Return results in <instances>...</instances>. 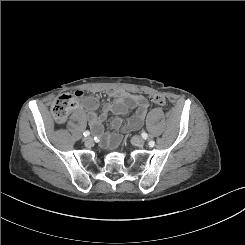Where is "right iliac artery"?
Masks as SVG:
<instances>
[{
	"instance_id": "right-iliac-artery-1",
	"label": "right iliac artery",
	"mask_w": 245,
	"mask_h": 245,
	"mask_svg": "<svg viewBox=\"0 0 245 245\" xmlns=\"http://www.w3.org/2000/svg\"><path fill=\"white\" fill-rule=\"evenodd\" d=\"M83 135H84L85 137H87V136L90 135V132H89V131H85V132L83 133Z\"/></svg>"
}]
</instances>
